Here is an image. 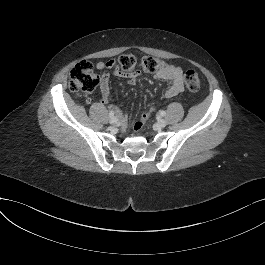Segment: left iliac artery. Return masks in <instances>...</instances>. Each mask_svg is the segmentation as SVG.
<instances>
[{
	"label": "left iliac artery",
	"mask_w": 265,
	"mask_h": 265,
	"mask_svg": "<svg viewBox=\"0 0 265 265\" xmlns=\"http://www.w3.org/2000/svg\"><path fill=\"white\" fill-rule=\"evenodd\" d=\"M160 115H161V116H165V115H166V112H165V111H161V112H160Z\"/></svg>",
	"instance_id": "1"
}]
</instances>
